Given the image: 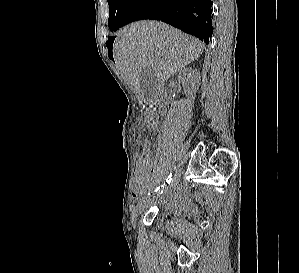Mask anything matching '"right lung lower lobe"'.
Masks as SVG:
<instances>
[{
	"instance_id": "obj_1",
	"label": "right lung lower lobe",
	"mask_w": 299,
	"mask_h": 273,
	"mask_svg": "<svg viewBox=\"0 0 299 273\" xmlns=\"http://www.w3.org/2000/svg\"><path fill=\"white\" fill-rule=\"evenodd\" d=\"M212 0H134L120 27L142 19L166 22L209 44L212 37Z\"/></svg>"
}]
</instances>
